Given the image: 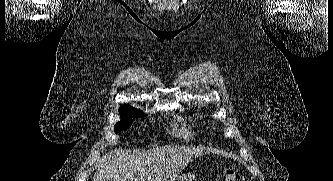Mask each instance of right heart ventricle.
<instances>
[{"mask_svg":"<svg viewBox=\"0 0 333 181\" xmlns=\"http://www.w3.org/2000/svg\"><path fill=\"white\" fill-rule=\"evenodd\" d=\"M178 134L182 137H185V138H190L192 136L189 129L185 126L181 127V129L178 131Z\"/></svg>","mask_w":333,"mask_h":181,"instance_id":"1","label":"right heart ventricle"}]
</instances>
